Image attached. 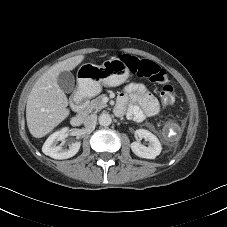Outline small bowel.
<instances>
[{
  "mask_svg": "<svg viewBox=\"0 0 227 227\" xmlns=\"http://www.w3.org/2000/svg\"><path fill=\"white\" fill-rule=\"evenodd\" d=\"M160 110L161 107L156 98L141 83L128 84L119 95L116 106L117 114H123L126 111L127 115L136 121L155 116Z\"/></svg>",
  "mask_w": 227,
  "mask_h": 227,
  "instance_id": "c3829d8e",
  "label": "small bowel"
}]
</instances>
